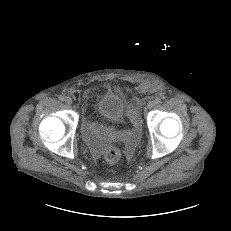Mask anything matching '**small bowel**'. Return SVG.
I'll use <instances>...</instances> for the list:
<instances>
[{"label":"small bowel","instance_id":"small-bowel-1","mask_svg":"<svg viewBox=\"0 0 231 231\" xmlns=\"http://www.w3.org/2000/svg\"><path fill=\"white\" fill-rule=\"evenodd\" d=\"M83 133L89 146L98 152L100 150L98 136L103 134L100 128L90 119L85 118L83 122Z\"/></svg>","mask_w":231,"mask_h":231}]
</instances>
